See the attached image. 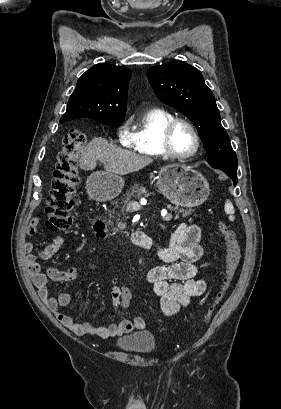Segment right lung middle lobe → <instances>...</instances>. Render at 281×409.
Listing matches in <instances>:
<instances>
[{
	"label": "right lung middle lobe",
	"instance_id": "1",
	"mask_svg": "<svg viewBox=\"0 0 281 409\" xmlns=\"http://www.w3.org/2000/svg\"><path fill=\"white\" fill-rule=\"evenodd\" d=\"M124 119H117V120H98L100 123H103L105 125H111V126H116L119 125L123 122Z\"/></svg>",
	"mask_w": 281,
	"mask_h": 409
}]
</instances>
